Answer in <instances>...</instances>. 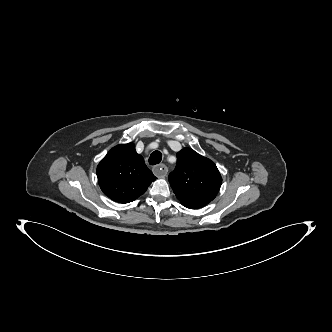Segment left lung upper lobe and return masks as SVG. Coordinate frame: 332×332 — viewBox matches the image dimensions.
I'll return each instance as SVG.
<instances>
[{
    "mask_svg": "<svg viewBox=\"0 0 332 332\" xmlns=\"http://www.w3.org/2000/svg\"><path fill=\"white\" fill-rule=\"evenodd\" d=\"M170 185L183 206L204 207L219 192L222 178L216 165L190 148L177 153V165L169 175Z\"/></svg>",
    "mask_w": 332,
    "mask_h": 332,
    "instance_id": "1",
    "label": "left lung upper lobe"
}]
</instances>
